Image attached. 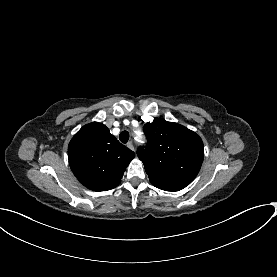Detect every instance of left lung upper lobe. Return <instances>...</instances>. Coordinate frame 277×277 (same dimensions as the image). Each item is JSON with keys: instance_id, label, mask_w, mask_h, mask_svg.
I'll use <instances>...</instances> for the list:
<instances>
[{"instance_id": "obj_1", "label": "left lung upper lobe", "mask_w": 277, "mask_h": 277, "mask_svg": "<svg viewBox=\"0 0 277 277\" xmlns=\"http://www.w3.org/2000/svg\"><path fill=\"white\" fill-rule=\"evenodd\" d=\"M143 130L148 145L139 147L137 155L151 184L165 191H179L189 185L203 162L201 138L178 123L158 118L146 123Z\"/></svg>"}]
</instances>
